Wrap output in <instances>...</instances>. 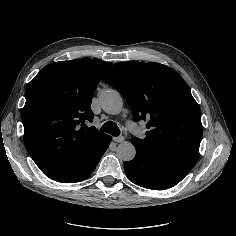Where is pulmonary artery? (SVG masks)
<instances>
[{
  "label": "pulmonary artery",
  "mask_w": 236,
  "mask_h": 236,
  "mask_svg": "<svg viewBox=\"0 0 236 236\" xmlns=\"http://www.w3.org/2000/svg\"><path fill=\"white\" fill-rule=\"evenodd\" d=\"M125 127L133 136H139L142 133V128L137 125L136 120L133 117H128L125 120Z\"/></svg>",
  "instance_id": "obj_1"
}]
</instances>
